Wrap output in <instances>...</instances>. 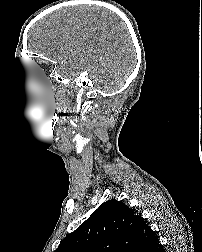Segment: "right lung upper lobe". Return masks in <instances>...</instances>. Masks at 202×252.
I'll return each instance as SVG.
<instances>
[{"label":"right lung upper lobe","mask_w":202,"mask_h":252,"mask_svg":"<svg viewBox=\"0 0 202 252\" xmlns=\"http://www.w3.org/2000/svg\"><path fill=\"white\" fill-rule=\"evenodd\" d=\"M161 246L140 215L121 201L109 200L54 252H158Z\"/></svg>","instance_id":"right-lung-upper-lobe-1"}]
</instances>
